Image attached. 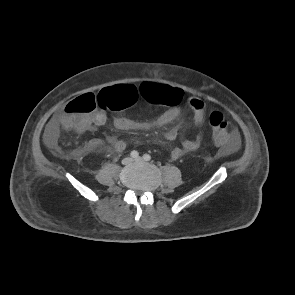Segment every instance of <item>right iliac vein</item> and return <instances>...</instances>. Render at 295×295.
Masks as SVG:
<instances>
[{
    "label": "right iliac vein",
    "instance_id": "right-iliac-vein-1",
    "mask_svg": "<svg viewBox=\"0 0 295 295\" xmlns=\"http://www.w3.org/2000/svg\"><path fill=\"white\" fill-rule=\"evenodd\" d=\"M131 162H132V158H130V157H126V158H124L123 161H122V163H123L124 165H128V164H130Z\"/></svg>",
    "mask_w": 295,
    "mask_h": 295
}]
</instances>
